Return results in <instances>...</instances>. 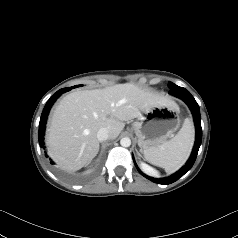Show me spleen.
Masks as SVG:
<instances>
[{
    "label": "spleen",
    "mask_w": 238,
    "mask_h": 238,
    "mask_svg": "<svg viewBox=\"0 0 238 238\" xmlns=\"http://www.w3.org/2000/svg\"><path fill=\"white\" fill-rule=\"evenodd\" d=\"M193 142L194 128L191 120L187 118L172 139L144 150L143 154L149 163L164 168L167 173H173L187 161Z\"/></svg>",
    "instance_id": "spleen-1"
}]
</instances>
